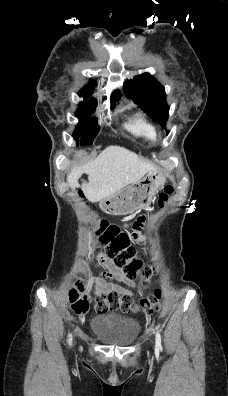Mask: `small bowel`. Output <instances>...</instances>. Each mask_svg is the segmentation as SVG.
<instances>
[{"label":"small bowel","instance_id":"small-bowel-1","mask_svg":"<svg viewBox=\"0 0 228 396\" xmlns=\"http://www.w3.org/2000/svg\"><path fill=\"white\" fill-rule=\"evenodd\" d=\"M97 265L104 268V277H91V283L94 286V291L101 294L109 293H126L128 289L122 287L119 284L113 283V278L125 282L129 287H133L134 284L125 277L122 270L113 264L110 260H105L102 257L97 259Z\"/></svg>","mask_w":228,"mask_h":396}]
</instances>
